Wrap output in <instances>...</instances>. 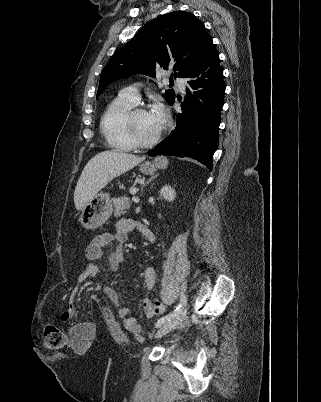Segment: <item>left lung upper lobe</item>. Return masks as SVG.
<instances>
[{
	"mask_svg": "<svg viewBox=\"0 0 321 402\" xmlns=\"http://www.w3.org/2000/svg\"><path fill=\"white\" fill-rule=\"evenodd\" d=\"M210 38L204 24L189 12L175 11L153 20L112 55L101 72L97 97L117 79L137 73L155 76L160 67H171L175 78L182 77ZM164 98L170 104L174 90L165 92Z\"/></svg>",
	"mask_w": 321,
	"mask_h": 402,
	"instance_id": "5c2ea615",
	"label": "left lung upper lobe"
}]
</instances>
